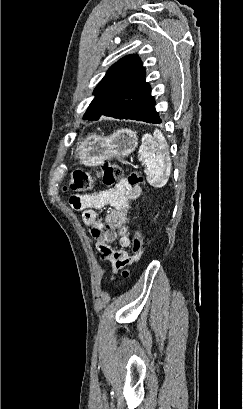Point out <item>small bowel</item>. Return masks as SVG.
Here are the masks:
<instances>
[{
	"mask_svg": "<svg viewBox=\"0 0 243 409\" xmlns=\"http://www.w3.org/2000/svg\"><path fill=\"white\" fill-rule=\"evenodd\" d=\"M140 193V186L133 187L127 180H121L112 188L71 197L72 206L83 211L84 224L95 241L101 259L112 263L113 272L133 264L136 259L133 253L130 254L125 249H114L109 243L118 238L121 247L131 246L132 240L127 233L126 223L131 203ZM105 206H109L110 210L105 219H101L96 211Z\"/></svg>",
	"mask_w": 243,
	"mask_h": 409,
	"instance_id": "obj_1",
	"label": "small bowel"
}]
</instances>
